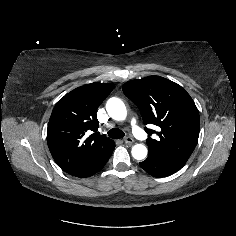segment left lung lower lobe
<instances>
[{"instance_id":"left-lung-lower-lobe-1","label":"left lung lower lobe","mask_w":236,"mask_h":236,"mask_svg":"<svg viewBox=\"0 0 236 236\" xmlns=\"http://www.w3.org/2000/svg\"><path fill=\"white\" fill-rule=\"evenodd\" d=\"M187 159L182 158H162L148 155L147 159L140 162V166L154 177H166L177 172Z\"/></svg>"}]
</instances>
